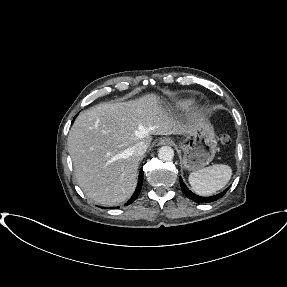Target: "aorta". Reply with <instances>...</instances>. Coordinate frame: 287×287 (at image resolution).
<instances>
[{
  "mask_svg": "<svg viewBox=\"0 0 287 287\" xmlns=\"http://www.w3.org/2000/svg\"><path fill=\"white\" fill-rule=\"evenodd\" d=\"M158 157L162 161H171L174 158V150L169 146L160 147Z\"/></svg>",
  "mask_w": 287,
  "mask_h": 287,
  "instance_id": "aorta-1",
  "label": "aorta"
}]
</instances>
